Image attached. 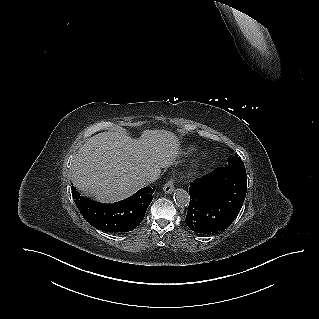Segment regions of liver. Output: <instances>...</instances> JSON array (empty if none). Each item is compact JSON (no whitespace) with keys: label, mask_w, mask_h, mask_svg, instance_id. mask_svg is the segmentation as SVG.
Returning <instances> with one entry per match:
<instances>
[{"label":"liver","mask_w":319,"mask_h":319,"mask_svg":"<svg viewBox=\"0 0 319 319\" xmlns=\"http://www.w3.org/2000/svg\"><path fill=\"white\" fill-rule=\"evenodd\" d=\"M178 139L167 130H145L139 139L119 132L98 133L84 143L72 163V182L101 202L125 199L145 186L148 173L171 165Z\"/></svg>","instance_id":"1"}]
</instances>
